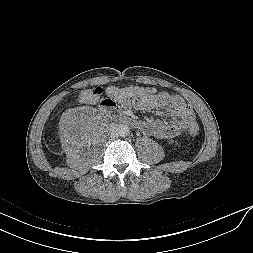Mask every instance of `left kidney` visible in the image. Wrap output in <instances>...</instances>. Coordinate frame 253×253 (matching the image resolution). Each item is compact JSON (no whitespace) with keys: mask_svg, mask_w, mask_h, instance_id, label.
<instances>
[{"mask_svg":"<svg viewBox=\"0 0 253 253\" xmlns=\"http://www.w3.org/2000/svg\"><path fill=\"white\" fill-rule=\"evenodd\" d=\"M169 143H171V144H172V143H173V141H170Z\"/></svg>","mask_w":253,"mask_h":253,"instance_id":"left-kidney-1","label":"left kidney"}]
</instances>
